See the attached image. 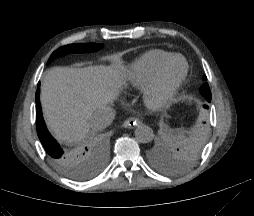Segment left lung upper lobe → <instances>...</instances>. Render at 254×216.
Instances as JSON below:
<instances>
[{"label": "left lung upper lobe", "instance_id": "1", "mask_svg": "<svg viewBox=\"0 0 254 216\" xmlns=\"http://www.w3.org/2000/svg\"><path fill=\"white\" fill-rule=\"evenodd\" d=\"M203 79H206V77L204 76ZM200 92L208 102L211 101V91L208 83H205L201 87ZM204 107L207 108L206 105H204ZM182 158L183 154L179 149H177V151H172L171 156L165 153L151 154V161L153 162V164L165 172H176L180 168L179 164Z\"/></svg>", "mask_w": 254, "mask_h": 216}]
</instances>
